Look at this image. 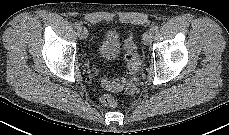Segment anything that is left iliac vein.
Returning a JSON list of instances; mask_svg holds the SVG:
<instances>
[{
  "instance_id": "obj_1",
  "label": "left iliac vein",
  "mask_w": 229,
  "mask_h": 135,
  "mask_svg": "<svg viewBox=\"0 0 229 135\" xmlns=\"http://www.w3.org/2000/svg\"><path fill=\"white\" fill-rule=\"evenodd\" d=\"M142 40L145 45H150L153 41V33L150 30L146 31L143 35Z\"/></svg>"
}]
</instances>
